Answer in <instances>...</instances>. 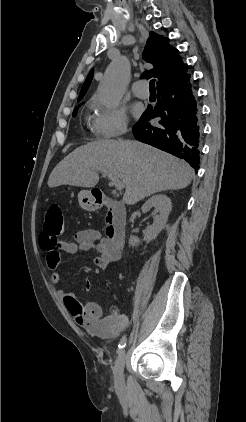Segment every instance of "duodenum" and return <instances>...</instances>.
<instances>
[{"label": "duodenum", "mask_w": 246, "mask_h": 422, "mask_svg": "<svg viewBox=\"0 0 246 422\" xmlns=\"http://www.w3.org/2000/svg\"><path fill=\"white\" fill-rule=\"evenodd\" d=\"M98 206L108 208L106 215V235L118 247H122L126 238V209L125 206L107 196H95Z\"/></svg>", "instance_id": "duodenum-1"}]
</instances>
